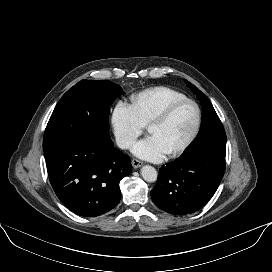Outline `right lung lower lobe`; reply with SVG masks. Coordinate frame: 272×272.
I'll return each mask as SVG.
<instances>
[{
    "instance_id": "1",
    "label": "right lung lower lobe",
    "mask_w": 272,
    "mask_h": 272,
    "mask_svg": "<svg viewBox=\"0 0 272 272\" xmlns=\"http://www.w3.org/2000/svg\"><path fill=\"white\" fill-rule=\"evenodd\" d=\"M50 183L74 213L94 217L120 201V180L132 172L130 157L111 139L73 135L44 150Z\"/></svg>"
}]
</instances>
